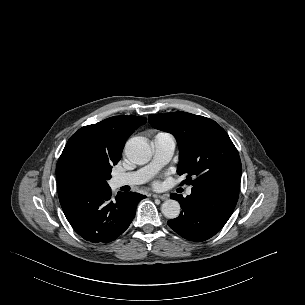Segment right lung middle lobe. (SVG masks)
<instances>
[{
    "label": "right lung middle lobe",
    "mask_w": 305,
    "mask_h": 305,
    "mask_svg": "<svg viewBox=\"0 0 305 305\" xmlns=\"http://www.w3.org/2000/svg\"><path fill=\"white\" fill-rule=\"evenodd\" d=\"M116 164L91 147L77 146L63 161L61 177L76 190L105 189L109 187L112 165Z\"/></svg>",
    "instance_id": "1"
}]
</instances>
